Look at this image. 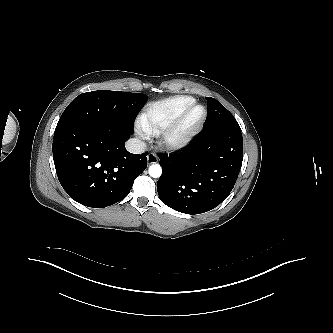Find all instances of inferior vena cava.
Masks as SVG:
<instances>
[{
  "label": "inferior vena cava",
  "instance_id": "1",
  "mask_svg": "<svg viewBox=\"0 0 333 333\" xmlns=\"http://www.w3.org/2000/svg\"><path fill=\"white\" fill-rule=\"evenodd\" d=\"M145 148V143L136 138H131L126 142V149L133 154H142L145 152Z\"/></svg>",
  "mask_w": 333,
  "mask_h": 333
}]
</instances>
